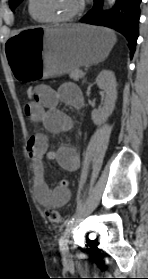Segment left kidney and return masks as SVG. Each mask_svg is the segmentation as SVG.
<instances>
[{
  "mask_svg": "<svg viewBox=\"0 0 148 279\" xmlns=\"http://www.w3.org/2000/svg\"><path fill=\"white\" fill-rule=\"evenodd\" d=\"M97 86L102 89L106 96L103 106L93 110L91 113L92 121L95 125H101L112 114L117 100V83L112 71L103 70L96 78Z\"/></svg>",
  "mask_w": 148,
  "mask_h": 279,
  "instance_id": "1",
  "label": "left kidney"
}]
</instances>
